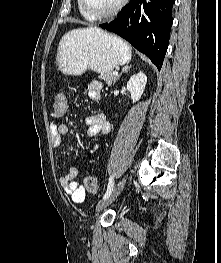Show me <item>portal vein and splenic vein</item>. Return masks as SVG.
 Here are the masks:
<instances>
[{
    "instance_id": "18ae733b",
    "label": "portal vein and splenic vein",
    "mask_w": 221,
    "mask_h": 263,
    "mask_svg": "<svg viewBox=\"0 0 221 263\" xmlns=\"http://www.w3.org/2000/svg\"><path fill=\"white\" fill-rule=\"evenodd\" d=\"M113 75H114V76H117V75H118V72H117V71H114V72H113Z\"/></svg>"
}]
</instances>
